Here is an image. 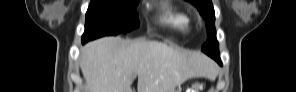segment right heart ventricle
<instances>
[{
  "label": "right heart ventricle",
  "instance_id": "1",
  "mask_svg": "<svg viewBox=\"0 0 296 92\" xmlns=\"http://www.w3.org/2000/svg\"><path fill=\"white\" fill-rule=\"evenodd\" d=\"M161 21L180 31H187L190 28V17L187 13L177 7L166 5L164 7Z\"/></svg>",
  "mask_w": 296,
  "mask_h": 92
}]
</instances>
